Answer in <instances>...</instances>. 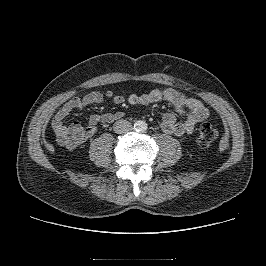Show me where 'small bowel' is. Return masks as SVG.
<instances>
[{
  "mask_svg": "<svg viewBox=\"0 0 266 266\" xmlns=\"http://www.w3.org/2000/svg\"><path fill=\"white\" fill-rule=\"evenodd\" d=\"M105 97L117 105L126 101L123 95L111 90L106 92ZM127 100L129 103L137 105H148L160 101L169 104L174 112H167L162 115L160 127L166 134L177 137L190 135L195 127L209 116L208 108L198 99L185 96L168 87H158L143 94H130ZM103 101L104 95L94 91L84 97H74L66 102L56 112L51 122V128L57 142L67 149L76 148L95 136L99 125H109L123 117V113L118 111L91 115L87 125H82L79 122H73L69 125L65 123V120L74 111L84 109L91 104H101ZM177 116H181L182 120L179 121Z\"/></svg>",
  "mask_w": 266,
  "mask_h": 266,
  "instance_id": "obj_1",
  "label": "small bowel"
}]
</instances>
